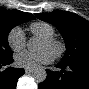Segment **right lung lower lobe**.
<instances>
[{"label":"right lung lower lobe","mask_w":89,"mask_h":89,"mask_svg":"<svg viewBox=\"0 0 89 89\" xmlns=\"http://www.w3.org/2000/svg\"><path fill=\"white\" fill-rule=\"evenodd\" d=\"M13 62L12 55L4 59H0V68ZM25 73L24 69H16L13 67L6 68L0 72V87L1 89L16 88L17 80Z\"/></svg>","instance_id":"1"}]
</instances>
